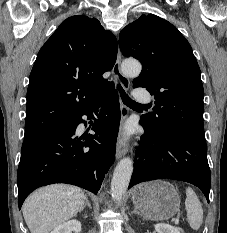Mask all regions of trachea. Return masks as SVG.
Listing matches in <instances>:
<instances>
[{"instance_id":"obj_1","label":"trachea","mask_w":227,"mask_h":233,"mask_svg":"<svg viewBox=\"0 0 227 233\" xmlns=\"http://www.w3.org/2000/svg\"><path fill=\"white\" fill-rule=\"evenodd\" d=\"M117 88L120 92V96L122 98V101L124 104H126L127 106H145L142 104H139L135 101H133L124 91V89L122 88V86L120 84L117 85Z\"/></svg>"}]
</instances>
